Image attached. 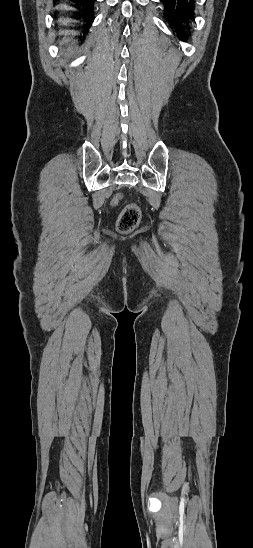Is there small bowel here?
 <instances>
[{
    "label": "small bowel",
    "mask_w": 253,
    "mask_h": 548,
    "mask_svg": "<svg viewBox=\"0 0 253 548\" xmlns=\"http://www.w3.org/2000/svg\"><path fill=\"white\" fill-rule=\"evenodd\" d=\"M120 199V194H117L115 198L113 199V203L116 204Z\"/></svg>",
    "instance_id": "obj_1"
}]
</instances>
